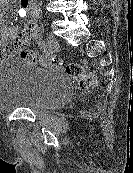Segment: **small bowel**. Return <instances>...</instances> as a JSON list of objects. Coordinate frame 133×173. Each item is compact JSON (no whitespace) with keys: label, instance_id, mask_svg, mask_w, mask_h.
Instances as JSON below:
<instances>
[{"label":"small bowel","instance_id":"1","mask_svg":"<svg viewBox=\"0 0 133 173\" xmlns=\"http://www.w3.org/2000/svg\"><path fill=\"white\" fill-rule=\"evenodd\" d=\"M29 11L28 22L25 27H18L7 24L0 15V49L11 38H21L24 42L36 39L39 33V10L34 6L33 0H20L19 11ZM9 56L0 54V60Z\"/></svg>","mask_w":133,"mask_h":173}]
</instances>
